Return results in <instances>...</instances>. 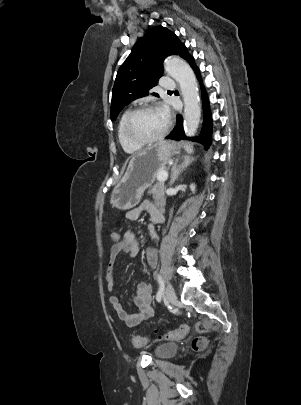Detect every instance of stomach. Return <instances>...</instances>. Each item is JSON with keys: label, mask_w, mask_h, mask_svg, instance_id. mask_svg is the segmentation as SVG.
<instances>
[{"label": "stomach", "mask_w": 301, "mask_h": 405, "mask_svg": "<svg viewBox=\"0 0 301 405\" xmlns=\"http://www.w3.org/2000/svg\"><path fill=\"white\" fill-rule=\"evenodd\" d=\"M177 151L173 142L160 141L134 155L125 174L112 191V206L119 210L135 207L144 191L155 182L157 172L165 168Z\"/></svg>", "instance_id": "stomach-1"}]
</instances>
